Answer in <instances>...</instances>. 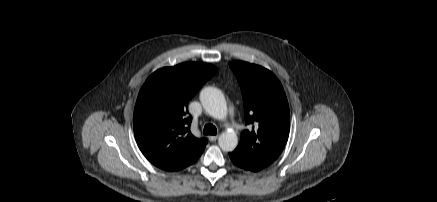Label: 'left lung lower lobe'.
<instances>
[{"label":"left lung lower lobe","mask_w":437,"mask_h":202,"mask_svg":"<svg viewBox=\"0 0 437 202\" xmlns=\"http://www.w3.org/2000/svg\"><path fill=\"white\" fill-rule=\"evenodd\" d=\"M230 159L232 160V162L247 171H253V172H257L262 170L264 167L254 163L253 161L247 159L246 157L242 156L241 154L233 151L231 153H229Z\"/></svg>","instance_id":"left-lung-lower-lobe-1"}]
</instances>
